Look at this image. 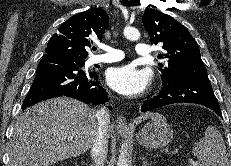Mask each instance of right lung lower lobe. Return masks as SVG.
<instances>
[{"label": "right lung lower lobe", "instance_id": "1", "mask_svg": "<svg viewBox=\"0 0 231 166\" xmlns=\"http://www.w3.org/2000/svg\"><path fill=\"white\" fill-rule=\"evenodd\" d=\"M63 95L92 105L108 101L106 90L99 85L97 74L85 73L74 62L44 55L23 101L22 110ZM108 108L111 110V106Z\"/></svg>", "mask_w": 231, "mask_h": 166}]
</instances>
